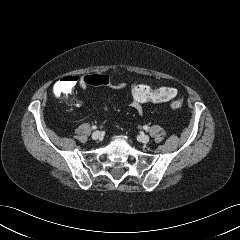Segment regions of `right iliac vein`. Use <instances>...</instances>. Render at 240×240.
Listing matches in <instances>:
<instances>
[{
    "mask_svg": "<svg viewBox=\"0 0 240 240\" xmlns=\"http://www.w3.org/2000/svg\"><path fill=\"white\" fill-rule=\"evenodd\" d=\"M103 137L102 133L100 131H95L92 134V139L93 140H101Z\"/></svg>",
    "mask_w": 240,
    "mask_h": 240,
    "instance_id": "right-iliac-vein-1",
    "label": "right iliac vein"
}]
</instances>
